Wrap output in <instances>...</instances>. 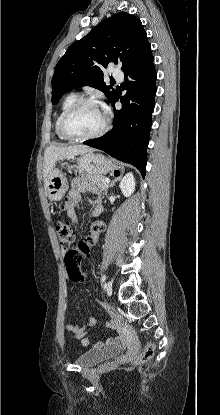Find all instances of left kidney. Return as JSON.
Returning a JSON list of instances; mask_svg holds the SVG:
<instances>
[{"label":"left kidney","mask_w":220,"mask_h":415,"mask_svg":"<svg viewBox=\"0 0 220 415\" xmlns=\"http://www.w3.org/2000/svg\"><path fill=\"white\" fill-rule=\"evenodd\" d=\"M119 187L125 197H130L135 191V179L133 173H127L121 180Z\"/></svg>","instance_id":"obj_1"}]
</instances>
